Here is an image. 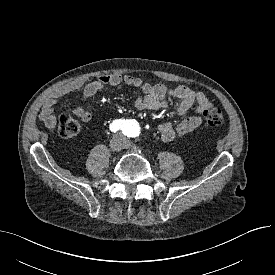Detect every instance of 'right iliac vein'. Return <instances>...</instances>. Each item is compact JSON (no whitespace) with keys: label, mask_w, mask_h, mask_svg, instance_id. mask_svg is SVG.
<instances>
[{"label":"right iliac vein","mask_w":275,"mask_h":275,"mask_svg":"<svg viewBox=\"0 0 275 275\" xmlns=\"http://www.w3.org/2000/svg\"><path fill=\"white\" fill-rule=\"evenodd\" d=\"M110 148L112 151H120L122 148V140L119 137H115L110 142Z\"/></svg>","instance_id":"obj_1"}]
</instances>
